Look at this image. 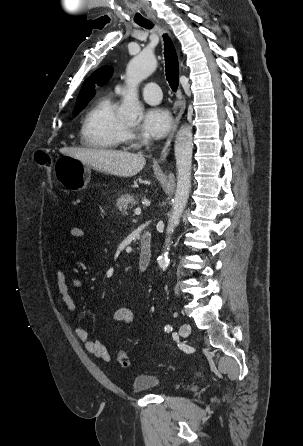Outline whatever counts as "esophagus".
Wrapping results in <instances>:
<instances>
[{"label":"esophagus","mask_w":303,"mask_h":446,"mask_svg":"<svg viewBox=\"0 0 303 446\" xmlns=\"http://www.w3.org/2000/svg\"><path fill=\"white\" fill-rule=\"evenodd\" d=\"M185 108H186V101L183 98L181 100L180 110H179L177 116L175 117V119L173 121L171 131H170L169 136H168V138H167V140L165 142L164 148H163V150L161 152V155H160V158H159V162L160 163H163L166 160V158L168 157L169 153H170L171 144H172L174 135H175V133L177 131L179 122L181 120V117H182V115H183V113L185 111Z\"/></svg>","instance_id":"1"}]
</instances>
